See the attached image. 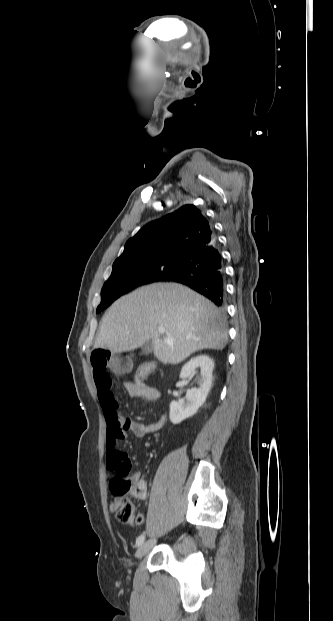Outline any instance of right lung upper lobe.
I'll return each mask as SVG.
<instances>
[{
  "label": "right lung upper lobe",
  "instance_id": "1",
  "mask_svg": "<svg viewBox=\"0 0 333 621\" xmlns=\"http://www.w3.org/2000/svg\"><path fill=\"white\" fill-rule=\"evenodd\" d=\"M214 238L212 226L201 211L187 204L142 227L126 242L123 253L114 263L159 257L185 258Z\"/></svg>",
  "mask_w": 333,
  "mask_h": 621
}]
</instances>
